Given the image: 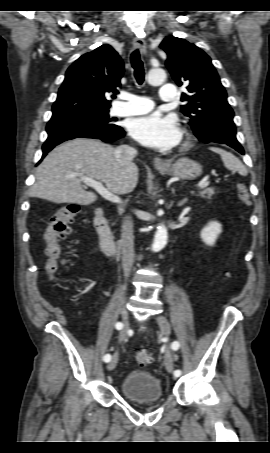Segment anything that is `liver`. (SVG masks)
<instances>
[{
  "instance_id": "obj_1",
  "label": "liver",
  "mask_w": 270,
  "mask_h": 453,
  "mask_svg": "<svg viewBox=\"0 0 270 453\" xmlns=\"http://www.w3.org/2000/svg\"><path fill=\"white\" fill-rule=\"evenodd\" d=\"M115 149L99 140L77 138L54 148L37 167L30 195L53 203L90 205L97 195L87 191L77 175L103 182L114 194L132 192L138 182V167L120 165Z\"/></svg>"
}]
</instances>
